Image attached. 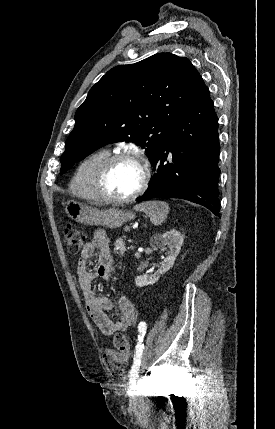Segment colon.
I'll list each match as a JSON object with an SVG mask.
<instances>
[{
    "mask_svg": "<svg viewBox=\"0 0 275 429\" xmlns=\"http://www.w3.org/2000/svg\"><path fill=\"white\" fill-rule=\"evenodd\" d=\"M63 233L68 252L73 255L77 254L84 246V234L70 224L65 225ZM112 343L114 349L107 350L103 354L102 362L111 376L118 377L123 373L128 362L130 345L122 333H116Z\"/></svg>",
    "mask_w": 275,
    "mask_h": 429,
    "instance_id": "colon-1",
    "label": "colon"
}]
</instances>
